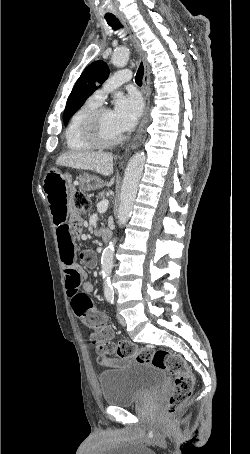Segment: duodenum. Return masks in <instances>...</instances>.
<instances>
[{
	"instance_id": "1",
	"label": "duodenum",
	"mask_w": 250,
	"mask_h": 454,
	"mask_svg": "<svg viewBox=\"0 0 250 454\" xmlns=\"http://www.w3.org/2000/svg\"><path fill=\"white\" fill-rule=\"evenodd\" d=\"M101 237L104 243H109L112 240V234L108 229L101 230Z\"/></svg>"
}]
</instances>
